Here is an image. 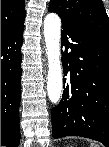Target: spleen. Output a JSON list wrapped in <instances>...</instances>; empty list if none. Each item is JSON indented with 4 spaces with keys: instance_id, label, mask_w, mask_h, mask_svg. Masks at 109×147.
Wrapping results in <instances>:
<instances>
[{
    "instance_id": "spleen-1",
    "label": "spleen",
    "mask_w": 109,
    "mask_h": 147,
    "mask_svg": "<svg viewBox=\"0 0 109 147\" xmlns=\"http://www.w3.org/2000/svg\"><path fill=\"white\" fill-rule=\"evenodd\" d=\"M90 147H100L99 144L91 143Z\"/></svg>"
}]
</instances>
